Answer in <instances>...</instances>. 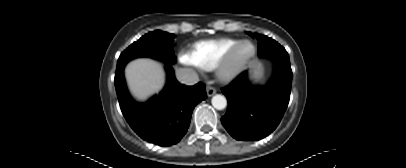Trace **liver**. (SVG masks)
<instances>
[{
	"mask_svg": "<svg viewBox=\"0 0 406 168\" xmlns=\"http://www.w3.org/2000/svg\"><path fill=\"white\" fill-rule=\"evenodd\" d=\"M125 75L132 95L140 101L158 93L165 82V74L160 63L141 58L130 62Z\"/></svg>",
	"mask_w": 406,
	"mask_h": 168,
	"instance_id": "liver-1",
	"label": "liver"
}]
</instances>
